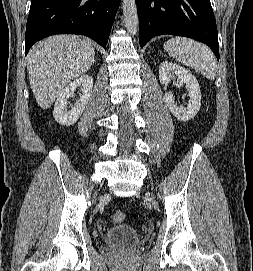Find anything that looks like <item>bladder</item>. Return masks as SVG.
<instances>
[{
  "label": "bladder",
  "instance_id": "bladder-1",
  "mask_svg": "<svg viewBox=\"0 0 253 271\" xmlns=\"http://www.w3.org/2000/svg\"><path fill=\"white\" fill-rule=\"evenodd\" d=\"M104 243L107 246H135L139 243V233L131 225L115 224L106 232Z\"/></svg>",
  "mask_w": 253,
  "mask_h": 271
}]
</instances>
